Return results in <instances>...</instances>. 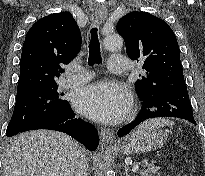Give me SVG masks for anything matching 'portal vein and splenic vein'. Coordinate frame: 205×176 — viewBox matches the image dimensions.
<instances>
[{
	"mask_svg": "<svg viewBox=\"0 0 205 176\" xmlns=\"http://www.w3.org/2000/svg\"><path fill=\"white\" fill-rule=\"evenodd\" d=\"M138 170H139V165L138 164L134 165L132 171L136 173Z\"/></svg>",
	"mask_w": 205,
	"mask_h": 176,
	"instance_id": "18ae733b",
	"label": "portal vein and splenic vein"
}]
</instances>
